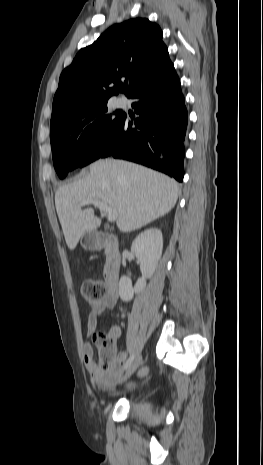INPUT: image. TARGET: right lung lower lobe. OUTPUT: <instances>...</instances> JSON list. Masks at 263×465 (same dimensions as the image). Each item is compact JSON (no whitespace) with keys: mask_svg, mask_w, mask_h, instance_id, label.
I'll list each match as a JSON object with an SVG mask.
<instances>
[{"mask_svg":"<svg viewBox=\"0 0 263 465\" xmlns=\"http://www.w3.org/2000/svg\"><path fill=\"white\" fill-rule=\"evenodd\" d=\"M129 98L139 117L132 121L123 115L101 157L141 163L181 182L188 113L174 66Z\"/></svg>","mask_w":263,"mask_h":465,"instance_id":"right-lung-lower-lobe-1","label":"right lung lower lobe"}]
</instances>
